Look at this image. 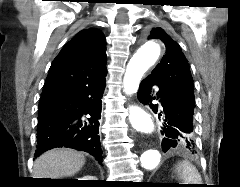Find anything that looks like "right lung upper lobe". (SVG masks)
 I'll list each match as a JSON object with an SVG mask.
<instances>
[{
    "mask_svg": "<svg viewBox=\"0 0 240 187\" xmlns=\"http://www.w3.org/2000/svg\"><path fill=\"white\" fill-rule=\"evenodd\" d=\"M105 39L100 30L84 29L53 60L42 96L106 75Z\"/></svg>",
    "mask_w": 240,
    "mask_h": 187,
    "instance_id": "right-lung-upper-lobe-1",
    "label": "right lung upper lobe"
}]
</instances>
